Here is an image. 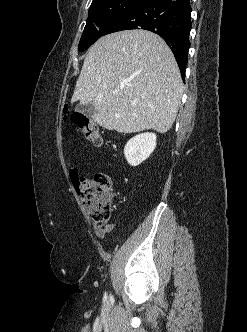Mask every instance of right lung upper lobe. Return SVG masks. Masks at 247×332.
<instances>
[{
  "instance_id": "right-lung-upper-lobe-1",
  "label": "right lung upper lobe",
  "mask_w": 247,
  "mask_h": 332,
  "mask_svg": "<svg viewBox=\"0 0 247 332\" xmlns=\"http://www.w3.org/2000/svg\"><path fill=\"white\" fill-rule=\"evenodd\" d=\"M96 1H99V0H93V2H92V3L96 2Z\"/></svg>"
}]
</instances>
